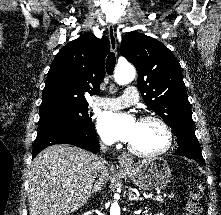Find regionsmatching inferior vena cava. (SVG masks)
Returning <instances> with one entry per match:
<instances>
[{"label":"inferior vena cava","instance_id":"1","mask_svg":"<svg viewBox=\"0 0 221 215\" xmlns=\"http://www.w3.org/2000/svg\"><path fill=\"white\" fill-rule=\"evenodd\" d=\"M100 150H101V152L105 153L108 150V147L104 144H101ZM100 161L102 164H105V160H103L102 158H100ZM99 180H101L102 183H104V181L106 180L105 168L103 171H101V175L99 177Z\"/></svg>","mask_w":221,"mask_h":215}]
</instances>
